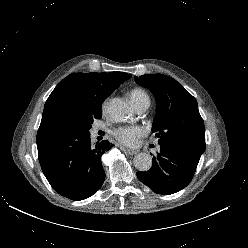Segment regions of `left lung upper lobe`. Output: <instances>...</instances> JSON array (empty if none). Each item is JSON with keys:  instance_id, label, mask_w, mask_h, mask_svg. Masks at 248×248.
I'll return each mask as SVG.
<instances>
[{"instance_id": "5c2ea615", "label": "left lung upper lobe", "mask_w": 248, "mask_h": 248, "mask_svg": "<svg viewBox=\"0 0 248 248\" xmlns=\"http://www.w3.org/2000/svg\"><path fill=\"white\" fill-rule=\"evenodd\" d=\"M139 85L148 88L157 103L152 132L160 147L179 150L198 163L205 151V127L196 99L175 79L162 74L135 76Z\"/></svg>"}]
</instances>
